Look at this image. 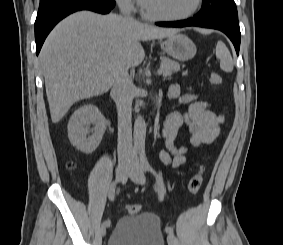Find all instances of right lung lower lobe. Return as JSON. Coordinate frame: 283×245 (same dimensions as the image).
I'll list each match as a JSON object with an SVG mask.
<instances>
[{"mask_svg":"<svg viewBox=\"0 0 283 245\" xmlns=\"http://www.w3.org/2000/svg\"><path fill=\"white\" fill-rule=\"evenodd\" d=\"M115 6V0H47L41 2L35 21L36 54L53 27L64 17L79 10H91L107 14Z\"/></svg>","mask_w":283,"mask_h":245,"instance_id":"right-lung-lower-lobe-1","label":"right lung lower lobe"}]
</instances>
